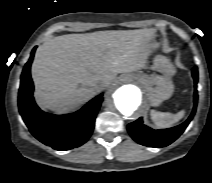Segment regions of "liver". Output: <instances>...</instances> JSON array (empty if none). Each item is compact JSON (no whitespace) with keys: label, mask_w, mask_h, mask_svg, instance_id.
Masks as SVG:
<instances>
[{"label":"liver","mask_w":212,"mask_h":183,"mask_svg":"<svg viewBox=\"0 0 212 183\" xmlns=\"http://www.w3.org/2000/svg\"><path fill=\"white\" fill-rule=\"evenodd\" d=\"M153 29L62 35L43 43L31 67L35 98L42 109L64 113L87 102L118 73L146 67Z\"/></svg>","instance_id":"liver-1"}]
</instances>
